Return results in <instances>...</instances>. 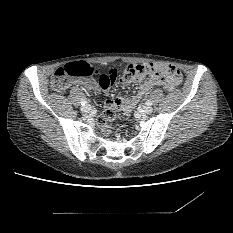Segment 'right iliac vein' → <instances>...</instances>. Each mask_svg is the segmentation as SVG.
Instances as JSON below:
<instances>
[{
  "label": "right iliac vein",
  "mask_w": 233,
  "mask_h": 233,
  "mask_svg": "<svg viewBox=\"0 0 233 233\" xmlns=\"http://www.w3.org/2000/svg\"><path fill=\"white\" fill-rule=\"evenodd\" d=\"M92 110V107L90 105H85L81 107L82 113H89Z\"/></svg>",
  "instance_id": "63e3f726"
}]
</instances>
